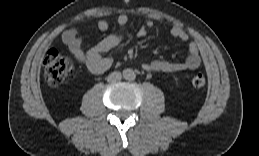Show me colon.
<instances>
[{"label":"colon","instance_id":"colon-1","mask_svg":"<svg viewBox=\"0 0 259 156\" xmlns=\"http://www.w3.org/2000/svg\"><path fill=\"white\" fill-rule=\"evenodd\" d=\"M73 69L72 61L66 55L55 49H50L43 60L44 77L50 87H59L71 74ZM206 83L204 74H197L192 78L191 84L194 88L203 87Z\"/></svg>","mask_w":259,"mask_h":156}]
</instances>
